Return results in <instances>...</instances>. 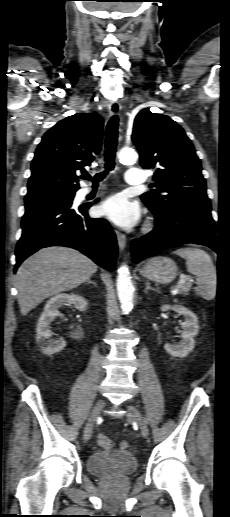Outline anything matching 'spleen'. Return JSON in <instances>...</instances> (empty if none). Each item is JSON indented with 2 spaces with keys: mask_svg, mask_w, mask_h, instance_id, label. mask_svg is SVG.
Masks as SVG:
<instances>
[{
  "mask_svg": "<svg viewBox=\"0 0 230 517\" xmlns=\"http://www.w3.org/2000/svg\"><path fill=\"white\" fill-rule=\"evenodd\" d=\"M186 259L187 270L196 276L195 291L206 300L216 296L217 273L211 257L198 248H181L174 252Z\"/></svg>",
  "mask_w": 230,
  "mask_h": 517,
  "instance_id": "1",
  "label": "spleen"
}]
</instances>
